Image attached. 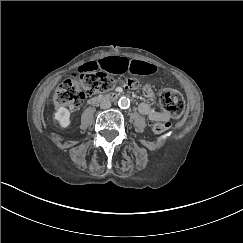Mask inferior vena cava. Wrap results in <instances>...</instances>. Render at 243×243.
<instances>
[{"instance_id":"602c4592","label":"inferior vena cava","mask_w":243,"mask_h":243,"mask_svg":"<svg viewBox=\"0 0 243 243\" xmlns=\"http://www.w3.org/2000/svg\"><path fill=\"white\" fill-rule=\"evenodd\" d=\"M110 107H111V102L110 101H108V100L101 101V103H100V108L101 109H108Z\"/></svg>"}]
</instances>
